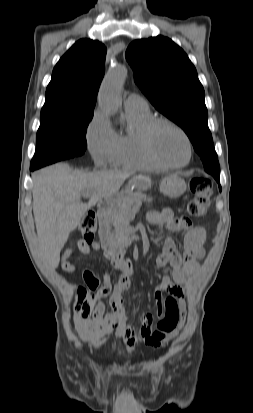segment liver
Here are the masks:
<instances>
[{
	"label": "liver",
	"mask_w": 253,
	"mask_h": 413,
	"mask_svg": "<svg viewBox=\"0 0 253 413\" xmlns=\"http://www.w3.org/2000/svg\"><path fill=\"white\" fill-rule=\"evenodd\" d=\"M129 176V173L114 170L72 171L62 163L37 172L32 194L38 251L50 269L58 267L60 252L70 232L80 225L87 210L101 199L117 194ZM85 191H92L87 204L80 201Z\"/></svg>",
	"instance_id": "liver-1"
}]
</instances>
